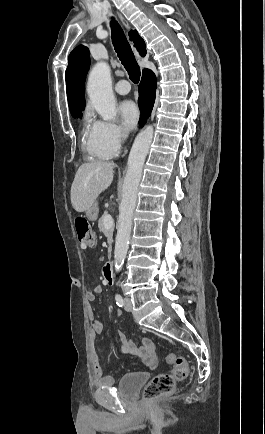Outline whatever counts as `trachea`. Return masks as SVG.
<instances>
[{
	"label": "trachea",
	"mask_w": 265,
	"mask_h": 434,
	"mask_svg": "<svg viewBox=\"0 0 265 434\" xmlns=\"http://www.w3.org/2000/svg\"><path fill=\"white\" fill-rule=\"evenodd\" d=\"M111 28V38L114 49L117 52L122 65H124V68L127 70L130 80L133 83H138L141 76L140 68L135 60L134 54L124 35V32L115 20H112Z\"/></svg>",
	"instance_id": "trachea-1"
}]
</instances>
